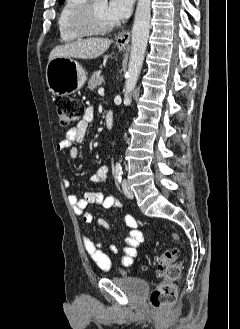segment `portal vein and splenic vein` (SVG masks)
I'll return each instance as SVG.
<instances>
[{
	"mask_svg": "<svg viewBox=\"0 0 240 329\" xmlns=\"http://www.w3.org/2000/svg\"><path fill=\"white\" fill-rule=\"evenodd\" d=\"M104 92V89L103 88H100L99 90H98V93L99 94H102Z\"/></svg>",
	"mask_w": 240,
	"mask_h": 329,
	"instance_id": "1",
	"label": "portal vein and splenic vein"
}]
</instances>
